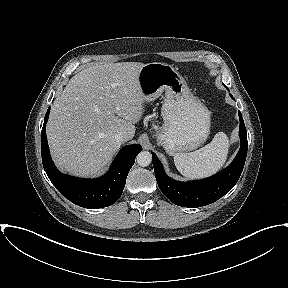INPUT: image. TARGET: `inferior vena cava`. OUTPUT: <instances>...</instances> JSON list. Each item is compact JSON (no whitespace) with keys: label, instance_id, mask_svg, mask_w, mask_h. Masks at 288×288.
Wrapping results in <instances>:
<instances>
[{"label":"inferior vena cava","instance_id":"obj_1","mask_svg":"<svg viewBox=\"0 0 288 288\" xmlns=\"http://www.w3.org/2000/svg\"><path fill=\"white\" fill-rule=\"evenodd\" d=\"M115 139L119 142H124L125 141V136L123 133L119 132L115 135Z\"/></svg>","mask_w":288,"mask_h":288}]
</instances>
